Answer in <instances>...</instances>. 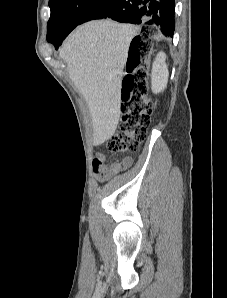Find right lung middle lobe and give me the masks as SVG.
Segmentation results:
<instances>
[{"label":"right lung middle lobe","instance_id":"dd1d6c3e","mask_svg":"<svg viewBox=\"0 0 227 298\" xmlns=\"http://www.w3.org/2000/svg\"><path fill=\"white\" fill-rule=\"evenodd\" d=\"M101 0H49L51 9L47 38L71 32Z\"/></svg>","mask_w":227,"mask_h":298}]
</instances>
